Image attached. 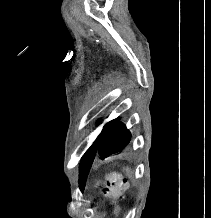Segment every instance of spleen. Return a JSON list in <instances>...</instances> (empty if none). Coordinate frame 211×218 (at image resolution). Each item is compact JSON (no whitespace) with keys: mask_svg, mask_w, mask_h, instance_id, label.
I'll list each match as a JSON object with an SVG mask.
<instances>
[{"mask_svg":"<svg viewBox=\"0 0 211 218\" xmlns=\"http://www.w3.org/2000/svg\"><path fill=\"white\" fill-rule=\"evenodd\" d=\"M127 174H128V176H129V178H133L132 172H130L129 168H127Z\"/></svg>","mask_w":211,"mask_h":218,"instance_id":"1","label":"spleen"}]
</instances>
